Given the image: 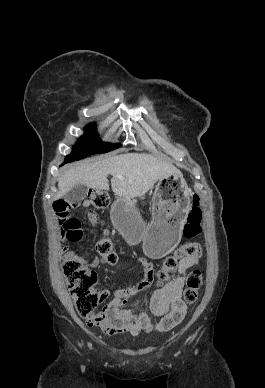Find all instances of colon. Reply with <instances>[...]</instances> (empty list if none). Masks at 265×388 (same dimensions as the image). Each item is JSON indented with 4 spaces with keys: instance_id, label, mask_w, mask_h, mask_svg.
Instances as JSON below:
<instances>
[{
    "instance_id": "obj_1",
    "label": "colon",
    "mask_w": 265,
    "mask_h": 388,
    "mask_svg": "<svg viewBox=\"0 0 265 388\" xmlns=\"http://www.w3.org/2000/svg\"><path fill=\"white\" fill-rule=\"evenodd\" d=\"M192 200L193 207L183 228V234L187 238H194L202 232V212L199 207V197L194 195ZM90 202L96 208H105L109 203V196L104 191H92ZM70 208V204L66 201H57L54 205L62 227L63 239L67 242H76L82 237L81 223L78 219L70 216ZM97 250L105 263L114 264L117 261L114 244L108 234L98 242ZM201 254L202 247L199 243L191 242L180 246L173 254L163 260L157 273V282L160 285L166 283L178 269L179 262L182 259L199 258ZM63 271L79 315L90 324H101L104 316L101 312L96 311V307L100 302V294L96 288V272L74 257L64 260ZM202 283L200 270H194L188 275L183 293V300L186 304L192 305L197 301Z\"/></svg>"
}]
</instances>
